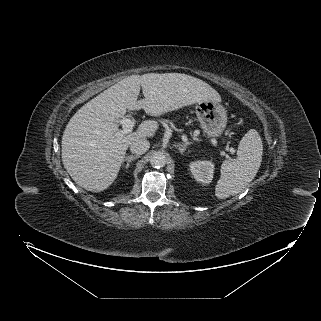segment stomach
<instances>
[{"label":"stomach","mask_w":321,"mask_h":321,"mask_svg":"<svg viewBox=\"0 0 321 321\" xmlns=\"http://www.w3.org/2000/svg\"><path fill=\"white\" fill-rule=\"evenodd\" d=\"M195 112L201 128L208 137H218L222 134L227 124V111L220 102H199Z\"/></svg>","instance_id":"0dacf381"}]
</instances>
